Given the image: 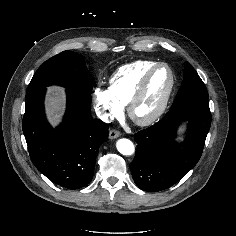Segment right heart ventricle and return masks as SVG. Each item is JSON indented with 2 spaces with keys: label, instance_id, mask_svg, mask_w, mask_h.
Here are the masks:
<instances>
[{
  "label": "right heart ventricle",
  "instance_id": "obj_1",
  "mask_svg": "<svg viewBox=\"0 0 236 236\" xmlns=\"http://www.w3.org/2000/svg\"><path fill=\"white\" fill-rule=\"evenodd\" d=\"M156 63L151 60H138L120 67L111 77L109 90L122 106L128 103L143 75Z\"/></svg>",
  "mask_w": 236,
  "mask_h": 236
}]
</instances>
